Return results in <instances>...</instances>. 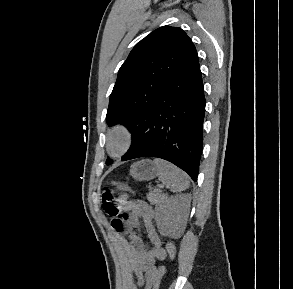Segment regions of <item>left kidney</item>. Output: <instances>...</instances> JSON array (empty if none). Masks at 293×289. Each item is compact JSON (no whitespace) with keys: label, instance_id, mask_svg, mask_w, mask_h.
Masks as SVG:
<instances>
[{"label":"left kidney","instance_id":"1","mask_svg":"<svg viewBox=\"0 0 293 289\" xmlns=\"http://www.w3.org/2000/svg\"><path fill=\"white\" fill-rule=\"evenodd\" d=\"M191 196L188 194L172 196L157 208L155 220L162 236L178 238L186 223Z\"/></svg>","mask_w":293,"mask_h":289}]
</instances>
